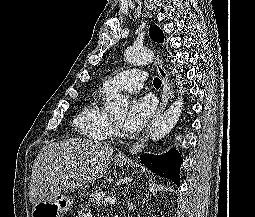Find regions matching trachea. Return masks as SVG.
<instances>
[{
	"label": "trachea",
	"instance_id": "trachea-1",
	"mask_svg": "<svg viewBox=\"0 0 255 217\" xmlns=\"http://www.w3.org/2000/svg\"><path fill=\"white\" fill-rule=\"evenodd\" d=\"M153 85L156 87V88H159L161 86V80L159 78H154L153 80Z\"/></svg>",
	"mask_w": 255,
	"mask_h": 217
}]
</instances>
